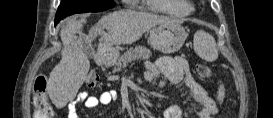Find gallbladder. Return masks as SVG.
<instances>
[{
    "label": "gallbladder",
    "instance_id": "1",
    "mask_svg": "<svg viewBox=\"0 0 273 118\" xmlns=\"http://www.w3.org/2000/svg\"><path fill=\"white\" fill-rule=\"evenodd\" d=\"M83 51L88 57H92L94 53L93 48L91 47V45H88V44H84Z\"/></svg>",
    "mask_w": 273,
    "mask_h": 118
}]
</instances>
